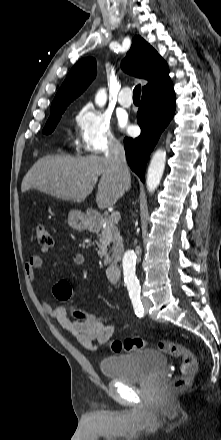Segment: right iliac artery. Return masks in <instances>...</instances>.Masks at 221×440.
<instances>
[{"label": "right iliac artery", "mask_w": 221, "mask_h": 440, "mask_svg": "<svg viewBox=\"0 0 221 440\" xmlns=\"http://www.w3.org/2000/svg\"><path fill=\"white\" fill-rule=\"evenodd\" d=\"M131 299H132V304L134 307L135 314L138 317H143L144 316V308H143V305H142L140 298L139 297H132Z\"/></svg>", "instance_id": "right-iliac-artery-1"}]
</instances>
